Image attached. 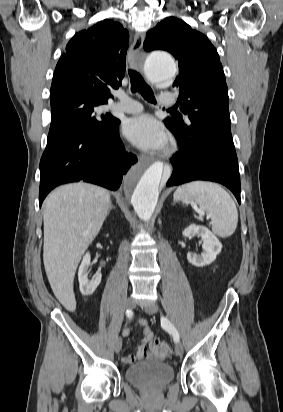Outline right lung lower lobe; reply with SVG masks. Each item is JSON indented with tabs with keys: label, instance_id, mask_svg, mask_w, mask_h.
<instances>
[{
	"label": "right lung lower lobe",
	"instance_id": "right-lung-lower-lobe-1",
	"mask_svg": "<svg viewBox=\"0 0 283 412\" xmlns=\"http://www.w3.org/2000/svg\"><path fill=\"white\" fill-rule=\"evenodd\" d=\"M119 123L117 119L102 132L88 128L60 132L48 140L40 161V206L53 188L64 183L85 181L119 188L123 174L137 162L135 155L125 153Z\"/></svg>",
	"mask_w": 283,
	"mask_h": 412
}]
</instances>
